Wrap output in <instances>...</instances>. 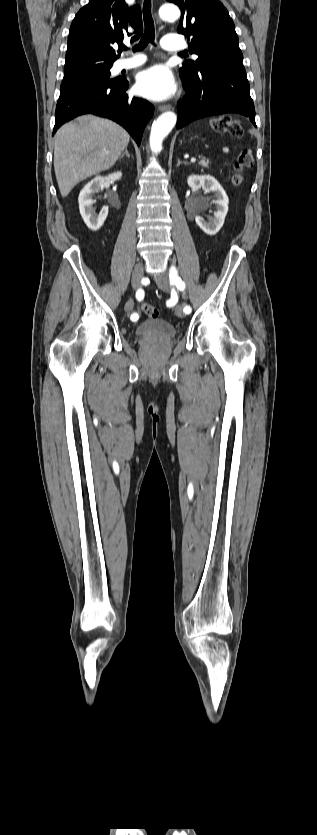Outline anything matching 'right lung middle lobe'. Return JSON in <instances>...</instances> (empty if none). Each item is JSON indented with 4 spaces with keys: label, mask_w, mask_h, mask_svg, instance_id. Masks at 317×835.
Returning <instances> with one entry per match:
<instances>
[{
    "label": "right lung middle lobe",
    "mask_w": 317,
    "mask_h": 835,
    "mask_svg": "<svg viewBox=\"0 0 317 835\" xmlns=\"http://www.w3.org/2000/svg\"><path fill=\"white\" fill-rule=\"evenodd\" d=\"M113 62L99 57L87 56L76 65L65 64L64 78L60 89L110 79L109 69Z\"/></svg>",
    "instance_id": "right-lung-middle-lobe-1"
}]
</instances>
